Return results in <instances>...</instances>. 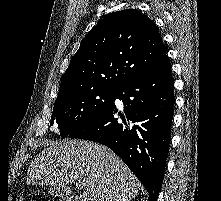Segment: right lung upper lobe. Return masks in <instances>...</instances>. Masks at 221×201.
Listing matches in <instances>:
<instances>
[{
  "mask_svg": "<svg viewBox=\"0 0 221 201\" xmlns=\"http://www.w3.org/2000/svg\"><path fill=\"white\" fill-rule=\"evenodd\" d=\"M166 60V47L148 16L135 9L114 12L82 40L61 79L57 99L93 88L115 90Z\"/></svg>",
  "mask_w": 221,
  "mask_h": 201,
  "instance_id": "1",
  "label": "right lung upper lobe"
}]
</instances>
